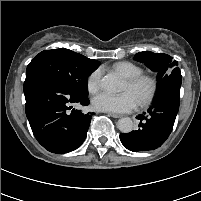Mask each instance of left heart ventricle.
Listing matches in <instances>:
<instances>
[{
	"instance_id": "b2bd125f",
	"label": "left heart ventricle",
	"mask_w": 201,
	"mask_h": 201,
	"mask_svg": "<svg viewBox=\"0 0 201 201\" xmlns=\"http://www.w3.org/2000/svg\"><path fill=\"white\" fill-rule=\"evenodd\" d=\"M124 91H130L135 98L137 99V101L146 93L147 91V86L146 85H141L137 88H131L127 82H125L124 87H123Z\"/></svg>"
}]
</instances>
